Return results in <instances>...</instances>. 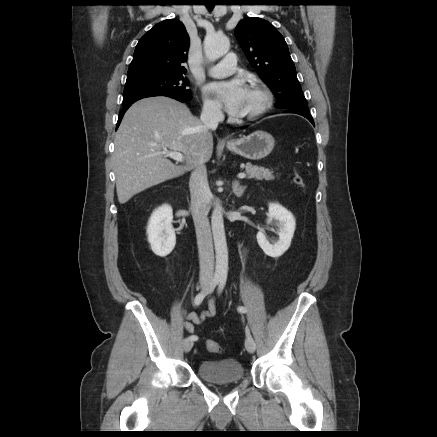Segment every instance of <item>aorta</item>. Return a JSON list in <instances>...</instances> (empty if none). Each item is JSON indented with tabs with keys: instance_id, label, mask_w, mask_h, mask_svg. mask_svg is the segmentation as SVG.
<instances>
[{
	"instance_id": "762f6f07",
	"label": "aorta",
	"mask_w": 437,
	"mask_h": 437,
	"mask_svg": "<svg viewBox=\"0 0 437 437\" xmlns=\"http://www.w3.org/2000/svg\"><path fill=\"white\" fill-rule=\"evenodd\" d=\"M230 41L225 35L207 36L204 41V52L208 60L215 61L229 51ZM212 233L215 246V275L226 278L228 273V249L224 230L223 210L216 206L211 216Z\"/></svg>"
}]
</instances>
